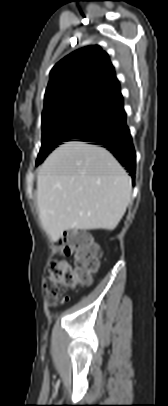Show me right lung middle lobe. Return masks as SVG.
Returning a JSON list of instances; mask_svg holds the SVG:
<instances>
[{"instance_id":"right-lung-middle-lobe-1","label":"right lung middle lobe","mask_w":168,"mask_h":406,"mask_svg":"<svg viewBox=\"0 0 168 406\" xmlns=\"http://www.w3.org/2000/svg\"><path fill=\"white\" fill-rule=\"evenodd\" d=\"M113 117L110 105L81 103L63 107L42 117V146L36 165L62 142L79 139L105 125Z\"/></svg>"}]
</instances>
